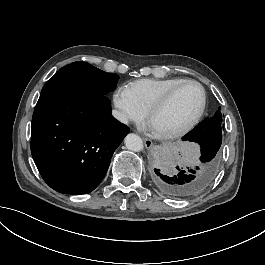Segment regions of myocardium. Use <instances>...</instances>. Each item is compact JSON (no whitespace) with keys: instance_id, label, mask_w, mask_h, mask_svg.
I'll return each mask as SVG.
<instances>
[{"instance_id":"f54148a6","label":"myocardium","mask_w":265,"mask_h":265,"mask_svg":"<svg viewBox=\"0 0 265 265\" xmlns=\"http://www.w3.org/2000/svg\"><path fill=\"white\" fill-rule=\"evenodd\" d=\"M188 83H193L196 84L202 93V101L200 108L198 109L197 113L195 116L183 127L167 132V133H157L155 132L156 136L162 140H171V139H176L179 137H182L189 133L200 121L202 116L205 113L206 107H207V102H208V94L206 87L198 80L196 79H183L179 83H177L175 86H173L149 111L148 113V124L151 126V122L155 116L156 113H158L160 110H162L165 106H167L171 100L174 98V96L177 94V92L181 89L182 86Z\"/></svg>"}]
</instances>
